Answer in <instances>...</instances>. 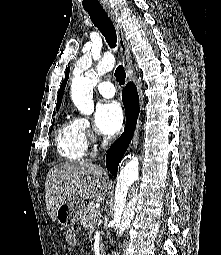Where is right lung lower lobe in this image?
<instances>
[{"label": "right lung lower lobe", "instance_id": "98d812e1", "mask_svg": "<svg viewBox=\"0 0 221 255\" xmlns=\"http://www.w3.org/2000/svg\"><path fill=\"white\" fill-rule=\"evenodd\" d=\"M122 99L126 115L125 132L112 144L106 155L107 169L115 177L117 175L119 162L132 138L139 114V97L136 86L132 82H129L124 88Z\"/></svg>", "mask_w": 221, "mask_h": 255}]
</instances>
